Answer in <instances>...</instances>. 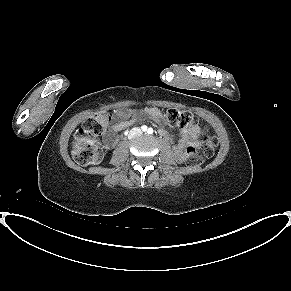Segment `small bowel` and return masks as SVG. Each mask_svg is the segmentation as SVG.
<instances>
[{
	"mask_svg": "<svg viewBox=\"0 0 291 291\" xmlns=\"http://www.w3.org/2000/svg\"><path fill=\"white\" fill-rule=\"evenodd\" d=\"M145 116L152 117L156 120H164L161 111L155 107L146 108L143 111H131L128 109H119L113 116V123L111 125V131L105 135V142L109 145H114L118 138L116 133L125 129L130 125L132 121H138ZM162 135H167L166 129H160ZM200 134V127L198 125H192L184 127L180 130L179 140L175 145L176 153L181 156L184 149L190 145H198V137Z\"/></svg>",
	"mask_w": 291,
	"mask_h": 291,
	"instance_id": "small-bowel-1",
	"label": "small bowel"
}]
</instances>
